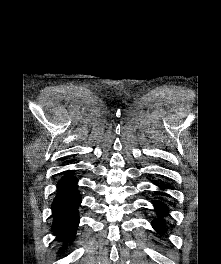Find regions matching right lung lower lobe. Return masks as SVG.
Instances as JSON below:
<instances>
[{
	"label": "right lung lower lobe",
	"mask_w": 221,
	"mask_h": 264,
	"mask_svg": "<svg viewBox=\"0 0 221 264\" xmlns=\"http://www.w3.org/2000/svg\"><path fill=\"white\" fill-rule=\"evenodd\" d=\"M81 198L77 190V179L64 176L57 184V195L52 204L54 222L52 231L62 241H71L79 224L78 206Z\"/></svg>",
	"instance_id": "obj_1"
}]
</instances>
